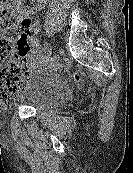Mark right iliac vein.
Returning <instances> with one entry per match:
<instances>
[{
  "instance_id": "right-iliac-vein-1",
  "label": "right iliac vein",
  "mask_w": 133,
  "mask_h": 173,
  "mask_svg": "<svg viewBox=\"0 0 133 173\" xmlns=\"http://www.w3.org/2000/svg\"><path fill=\"white\" fill-rule=\"evenodd\" d=\"M52 55V49L47 53V55L42 59V61L40 62V67H43L45 66L48 62H49V59Z\"/></svg>"
}]
</instances>
